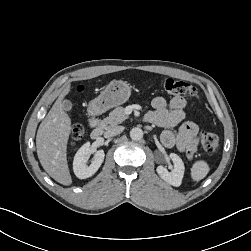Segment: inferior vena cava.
I'll return each mask as SVG.
<instances>
[{"instance_id": "obj_1", "label": "inferior vena cava", "mask_w": 251, "mask_h": 251, "mask_svg": "<svg viewBox=\"0 0 251 251\" xmlns=\"http://www.w3.org/2000/svg\"><path fill=\"white\" fill-rule=\"evenodd\" d=\"M123 129L124 128L122 126H116V127L109 128L104 133V137L105 138H111V137L117 136L123 131Z\"/></svg>"}]
</instances>
